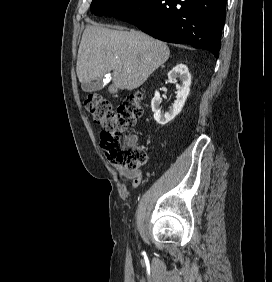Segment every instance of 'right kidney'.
<instances>
[{"instance_id":"ca27d5eb","label":"right kidney","mask_w":272,"mask_h":282,"mask_svg":"<svg viewBox=\"0 0 272 282\" xmlns=\"http://www.w3.org/2000/svg\"><path fill=\"white\" fill-rule=\"evenodd\" d=\"M177 78L180 79L181 84H177ZM168 79L176 83L177 96L176 101L170 106L169 111L164 113L160 109L162 99L159 91H155V95L151 101V107L154 114L155 121L160 125H165L173 120L182 110L185 101L190 93L191 75L188 67L182 63L176 65L168 73Z\"/></svg>"}]
</instances>
